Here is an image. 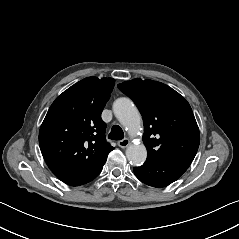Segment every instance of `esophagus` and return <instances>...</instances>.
<instances>
[{
    "instance_id": "1",
    "label": "esophagus",
    "mask_w": 239,
    "mask_h": 239,
    "mask_svg": "<svg viewBox=\"0 0 239 239\" xmlns=\"http://www.w3.org/2000/svg\"><path fill=\"white\" fill-rule=\"evenodd\" d=\"M130 144V140L125 138L118 142V146L121 148H126Z\"/></svg>"
}]
</instances>
